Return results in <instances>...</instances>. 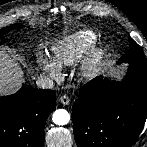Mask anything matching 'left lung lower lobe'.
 <instances>
[{
    "label": "left lung lower lobe",
    "mask_w": 147,
    "mask_h": 147,
    "mask_svg": "<svg viewBox=\"0 0 147 147\" xmlns=\"http://www.w3.org/2000/svg\"><path fill=\"white\" fill-rule=\"evenodd\" d=\"M147 118V67L129 64L122 81L97 77L73 104L77 147H131Z\"/></svg>",
    "instance_id": "0a47b994"
}]
</instances>
